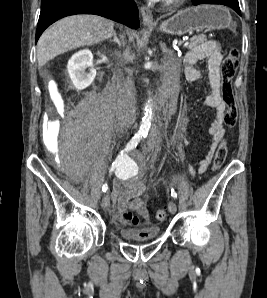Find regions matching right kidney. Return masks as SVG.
<instances>
[{
  "mask_svg": "<svg viewBox=\"0 0 267 298\" xmlns=\"http://www.w3.org/2000/svg\"><path fill=\"white\" fill-rule=\"evenodd\" d=\"M90 67L88 73L85 69ZM67 70L70 79L77 90L87 88L95 79L96 70L93 67V55L90 50H81L69 59Z\"/></svg>",
  "mask_w": 267,
  "mask_h": 298,
  "instance_id": "right-kidney-1",
  "label": "right kidney"
}]
</instances>
